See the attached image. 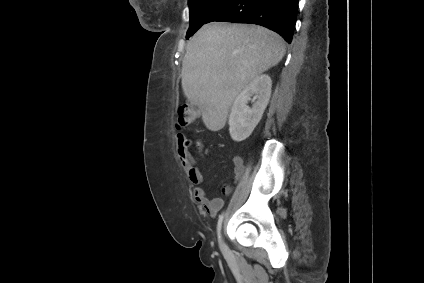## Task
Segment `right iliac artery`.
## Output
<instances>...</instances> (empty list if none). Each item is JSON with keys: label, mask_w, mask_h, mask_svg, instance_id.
Here are the masks:
<instances>
[{"label": "right iliac artery", "mask_w": 424, "mask_h": 283, "mask_svg": "<svg viewBox=\"0 0 424 283\" xmlns=\"http://www.w3.org/2000/svg\"><path fill=\"white\" fill-rule=\"evenodd\" d=\"M223 218H224V213H222V214L219 216L218 223H217V232H218V236H219V238H220V231H221V226H222Z\"/></svg>", "instance_id": "obj_1"}]
</instances>
